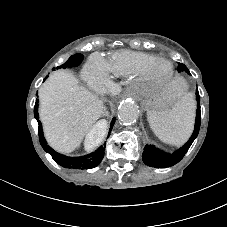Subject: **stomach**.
<instances>
[{
  "label": "stomach",
  "mask_w": 227,
  "mask_h": 227,
  "mask_svg": "<svg viewBox=\"0 0 227 227\" xmlns=\"http://www.w3.org/2000/svg\"><path fill=\"white\" fill-rule=\"evenodd\" d=\"M174 95L175 89L171 88L164 93L152 95L150 98L144 101V104L148 108H154L156 110L162 109L173 100Z\"/></svg>",
  "instance_id": "stomach-1"
}]
</instances>
